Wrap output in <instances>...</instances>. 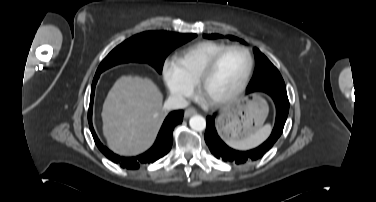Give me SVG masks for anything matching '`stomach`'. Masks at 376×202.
Listing matches in <instances>:
<instances>
[{"mask_svg":"<svg viewBox=\"0 0 376 202\" xmlns=\"http://www.w3.org/2000/svg\"><path fill=\"white\" fill-rule=\"evenodd\" d=\"M267 113V104L259 97L238 100L220 115L219 131L228 142L242 140L262 128Z\"/></svg>","mask_w":376,"mask_h":202,"instance_id":"1","label":"stomach"}]
</instances>
